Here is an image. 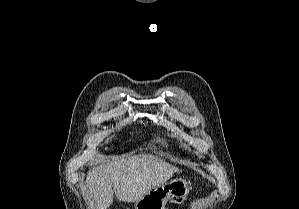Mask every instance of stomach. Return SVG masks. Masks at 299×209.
I'll use <instances>...</instances> for the list:
<instances>
[{"instance_id":"1","label":"stomach","mask_w":299,"mask_h":209,"mask_svg":"<svg viewBox=\"0 0 299 209\" xmlns=\"http://www.w3.org/2000/svg\"><path fill=\"white\" fill-rule=\"evenodd\" d=\"M191 190V183L184 178L175 177L153 188L135 202V209H165L167 201L182 204Z\"/></svg>"}]
</instances>
